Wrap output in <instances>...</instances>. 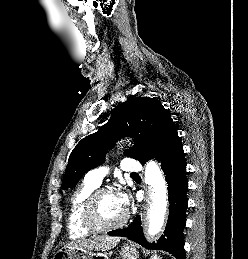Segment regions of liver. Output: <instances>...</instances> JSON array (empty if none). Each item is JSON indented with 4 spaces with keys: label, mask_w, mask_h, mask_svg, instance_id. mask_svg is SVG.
<instances>
[{
    "label": "liver",
    "mask_w": 248,
    "mask_h": 259,
    "mask_svg": "<svg viewBox=\"0 0 248 259\" xmlns=\"http://www.w3.org/2000/svg\"><path fill=\"white\" fill-rule=\"evenodd\" d=\"M121 237L117 236H97L89 239L76 240L69 243L66 247H75L88 251H107L115 247Z\"/></svg>",
    "instance_id": "1"
}]
</instances>
